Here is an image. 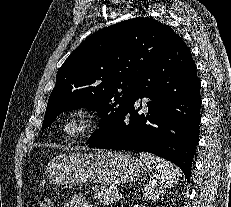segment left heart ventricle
Returning <instances> with one entry per match:
<instances>
[{
	"label": "left heart ventricle",
	"instance_id": "obj_1",
	"mask_svg": "<svg viewBox=\"0 0 231 207\" xmlns=\"http://www.w3.org/2000/svg\"><path fill=\"white\" fill-rule=\"evenodd\" d=\"M72 128H73V129H76V128H77V125L74 124V125L72 126Z\"/></svg>",
	"mask_w": 231,
	"mask_h": 207
}]
</instances>
